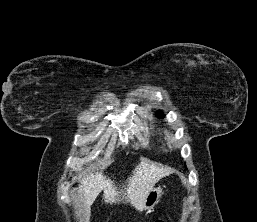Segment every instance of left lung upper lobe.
<instances>
[{"instance_id": "5c2ea615", "label": "left lung upper lobe", "mask_w": 257, "mask_h": 222, "mask_svg": "<svg viewBox=\"0 0 257 222\" xmlns=\"http://www.w3.org/2000/svg\"><path fill=\"white\" fill-rule=\"evenodd\" d=\"M156 115H157V117H164V114H163L161 111H158V112L156 113Z\"/></svg>"}]
</instances>
